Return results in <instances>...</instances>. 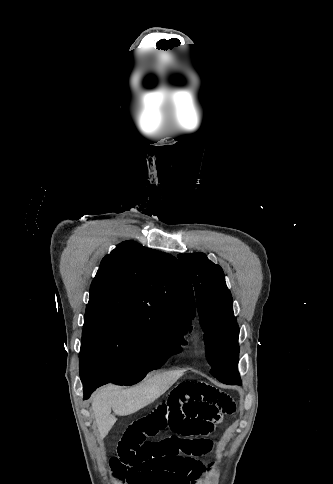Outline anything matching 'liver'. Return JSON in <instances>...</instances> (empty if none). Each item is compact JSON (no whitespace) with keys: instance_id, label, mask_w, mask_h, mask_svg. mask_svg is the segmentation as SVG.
Here are the masks:
<instances>
[{"instance_id":"6515ba94","label":"liver","mask_w":333,"mask_h":484,"mask_svg":"<svg viewBox=\"0 0 333 484\" xmlns=\"http://www.w3.org/2000/svg\"><path fill=\"white\" fill-rule=\"evenodd\" d=\"M182 370L163 373L147 379L140 385L122 388L106 385L98 389L92 398V410L100 438L103 439L116 422L111 408L119 416L137 412L164 394L182 375Z\"/></svg>"}]
</instances>
